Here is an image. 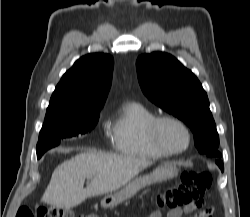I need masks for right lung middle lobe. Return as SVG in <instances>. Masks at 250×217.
<instances>
[{
    "mask_svg": "<svg viewBox=\"0 0 250 217\" xmlns=\"http://www.w3.org/2000/svg\"><path fill=\"white\" fill-rule=\"evenodd\" d=\"M99 111L45 118L37 143V157L40 158L48 149L58 146L63 138L90 132L98 122Z\"/></svg>",
    "mask_w": 250,
    "mask_h": 217,
    "instance_id": "dd1d6c3e",
    "label": "right lung middle lobe"
}]
</instances>
